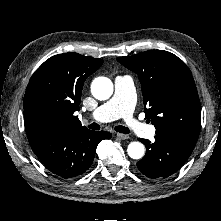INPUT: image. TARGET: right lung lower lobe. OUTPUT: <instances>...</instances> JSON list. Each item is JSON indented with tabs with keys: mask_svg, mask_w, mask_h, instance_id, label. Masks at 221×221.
<instances>
[{
	"mask_svg": "<svg viewBox=\"0 0 221 221\" xmlns=\"http://www.w3.org/2000/svg\"><path fill=\"white\" fill-rule=\"evenodd\" d=\"M112 135L106 131L43 129L27 134L32 150L42 163L63 178L83 174L92 165L96 147Z\"/></svg>",
	"mask_w": 221,
	"mask_h": 221,
	"instance_id": "right-lung-lower-lobe-1",
	"label": "right lung lower lobe"
}]
</instances>
